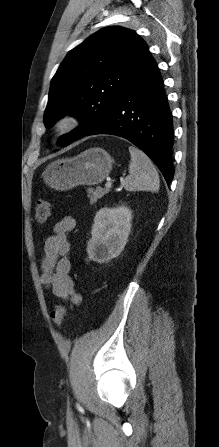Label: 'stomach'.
I'll return each instance as SVG.
<instances>
[{
  "mask_svg": "<svg viewBox=\"0 0 219 447\" xmlns=\"http://www.w3.org/2000/svg\"><path fill=\"white\" fill-rule=\"evenodd\" d=\"M112 164L113 159L104 149L94 147L75 157L50 163L42 177L51 188L65 191L78 185L101 183L110 174Z\"/></svg>",
  "mask_w": 219,
  "mask_h": 447,
  "instance_id": "1",
  "label": "stomach"
}]
</instances>
